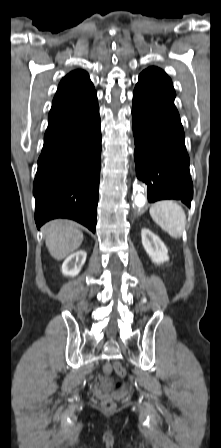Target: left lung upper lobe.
<instances>
[{"mask_svg":"<svg viewBox=\"0 0 221 448\" xmlns=\"http://www.w3.org/2000/svg\"><path fill=\"white\" fill-rule=\"evenodd\" d=\"M136 86L167 100L174 101L176 97L171 79L158 67L151 66L145 69L139 75Z\"/></svg>","mask_w":221,"mask_h":448,"instance_id":"5c2ea615","label":"left lung upper lobe"}]
</instances>
